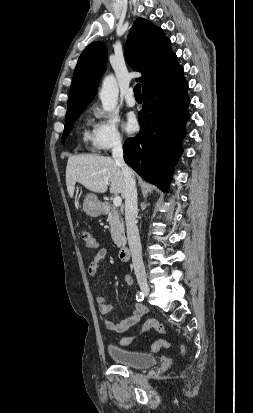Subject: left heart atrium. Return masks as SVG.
Returning <instances> with one entry per match:
<instances>
[{
    "label": "left heart atrium",
    "mask_w": 253,
    "mask_h": 413,
    "mask_svg": "<svg viewBox=\"0 0 253 413\" xmlns=\"http://www.w3.org/2000/svg\"><path fill=\"white\" fill-rule=\"evenodd\" d=\"M123 128L128 134L134 133L137 130L138 121L134 113H128L126 115Z\"/></svg>",
    "instance_id": "1"
}]
</instances>
